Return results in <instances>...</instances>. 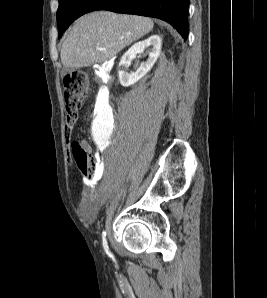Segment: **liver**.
Returning <instances> with one entry per match:
<instances>
[{"instance_id": "6515ba94", "label": "liver", "mask_w": 267, "mask_h": 298, "mask_svg": "<svg viewBox=\"0 0 267 298\" xmlns=\"http://www.w3.org/2000/svg\"><path fill=\"white\" fill-rule=\"evenodd\" d=\"M151 19L96 11L80 17L61 49L65 67L82 68L112 59L153 29ZM97 48H101L98 50Z\"/></svg>"}]
</instances>
